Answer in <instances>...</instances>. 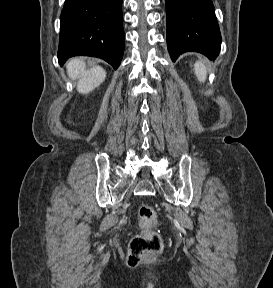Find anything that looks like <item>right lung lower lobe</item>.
Segmentation results:
<instances>
[{
  "label": "right lung lower lobe",
  "mask_w": 273,
  "mask_h": 288,
  "mask_svg": "<svg viewBox=\"0 0 273 288\" xmlns=\"http://www.w3.org/2000/svg\"><path fill=\"white\" fill-rule=\"evenodd\" d=\"M122 0H65L60 17L58 61L99 57L114 69L124 52Z\"/></svg>",
  "instance_id": "98d812e1"
}]
</instances>
